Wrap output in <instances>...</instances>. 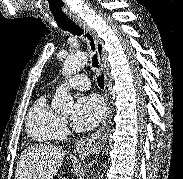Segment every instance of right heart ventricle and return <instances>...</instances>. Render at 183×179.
Here are the masks:
<instances>
[{
  "mask_svg": "<svg viewBox=\"0 0 183 179\" xmlns=\"http://www.w3.org/2000/svg\"><path fill=\"white\" fill-rule=\"evenodd\" d=\"M58 115L49 106L48 96L40 95L33 103L27 117V132L38 142H50L55 137Z\"/></svg>",
  "mask_w": 183,
  "mask_h": 179,
  "instance_id": "1",
  "label": "right heart ventricle"
}]
</instances>
